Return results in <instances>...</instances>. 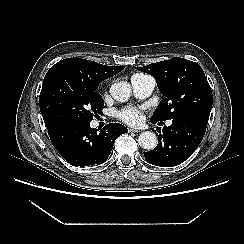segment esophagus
Returning <instances> with one entry per match:
<instances>
[{
  "mask_svg": "<svg viewBox=\"0 0 244 244\" xmlns=\"http://www.w3.org/2000/svg\"><path fill=\"white\" fill-rule=\"evenodd\" d=\"M128 131L130 133H138V132H140L138 129H135V128H129Z\"/></svg>",
  "mask_w": 244,
  "mask_h": 244,
  "instance_id": "esophagus-1",
  "label": "esophagus"
}]
</instances>
